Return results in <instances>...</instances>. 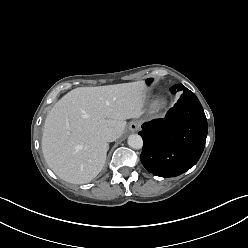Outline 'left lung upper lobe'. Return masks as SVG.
Masks as SVG:
<instances>
[{
  "label": "left lung upper lobe",
  "instance_id": "left-lung-upper-lobe-1",
  "mask_svg": "<svg viewBox=\"0 0 248 248\" xmlns=\"http://www.w3.org/2000/svg\"><path fill=\"white\" fill-rule=\"evenodd\" d=\"M187 88L185 86H183L182 84H179V85H175L171 88V91L173 93H176V91H181L183 92L184 90H186Z\"/></svg>",
  "mask_w": 248,
  "mask_h": 248
}]
</instances>
